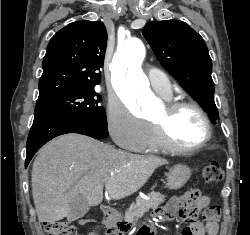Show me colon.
I'll list each match as a JSON object with an SVG mask.
<instances>
[{
    "instance_id": "colon-1",
    "label": "colon",
    "mask_w": 250,
    "mask_h": 235,
    "mask_svg": "<svg viewBox=\"0 0 250 235\" xmlns=\"http://www.w3.org/2000/svg\"><path fill=\"white\" fill-rule=\"evenodd\" d=\"M202 179L207 184L218 183L222 180V170L216 162L207 164L202 170ZM221 207L212 204L203 211V221L207 225H216L220 221ZM89 220H82L83 224ZM47 235H77L76 227L67 221H49L44 223Z\"/></svg>"
}]
</instances>
